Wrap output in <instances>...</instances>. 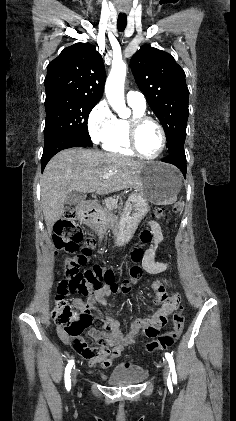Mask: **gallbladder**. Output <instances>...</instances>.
Listing matches in <instances>:
<instances>
[{"label": "gallbladder", "mask_w": 236, "mask_h": 421, "mask_svg": "<svg viewBox=\"0 0 236 421\" xmlns=\"http://www.w3.org/2000/svg\"><path fill=\"white\" fill-rule=\"evenodd\" d=\"M86 198L85 192H80V190H71L68 192L65 200V204H77Z\"/></svg>", "instance_id": "gallbladder-1"}]
</instances>
